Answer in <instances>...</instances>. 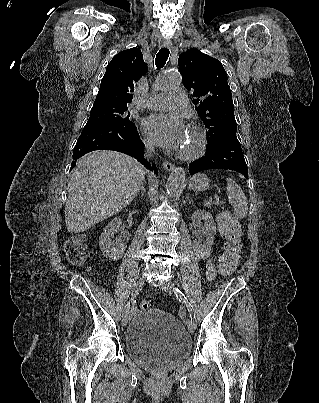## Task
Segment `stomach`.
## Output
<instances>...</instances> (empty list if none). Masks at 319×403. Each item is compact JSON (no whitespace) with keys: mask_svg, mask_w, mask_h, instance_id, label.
I'll return each instance as SVG.
<instances>
[{"mask_svg":"<svg viewBox=\"0 0 319 403\" xmlns=\"http://www.w3.org/2000/svg\"><path fill=\"white\" fill-rule=\"evenodd\" d=\"M209 179L205 174H196L189 180V186L199 192H203L209 188Z\"/></svg>","mask_w":319,"mask_h":403,"instance_id":"1","label":"stomach"}]
</instances>
